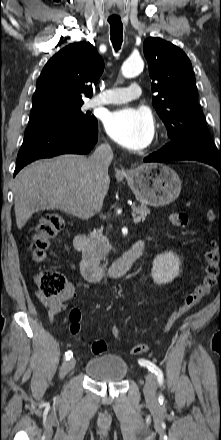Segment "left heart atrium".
I'll return each instance as SVG.
<instances>
[{
    "instance_id": "left-heart-atrium-1",
    "label": "left heart atrium",
    "mask_w": 221,
    "mask_h": 440,
    "mask_svg": "<svg viewBox=\"0 0 221 440\" xmlns=\"http://www.w3.org/2000/svg\"><path fill=\"white\" fill-rule=\"evenodd\" d=\"M105 129L122 146L138 150L146 147L154 135L151 114L144 108H123L107 115Z\"/></svg>"
}]
</instances>
